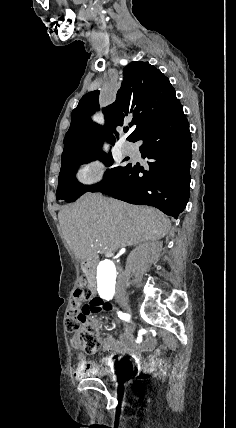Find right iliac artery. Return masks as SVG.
I'll return each instance as SVG.
<instances>
[{"label": "right iliac artery", "mask_w": 236, "mask_h": 428, "mask_svg": "<svg viewBox=\"0 0 236 428\" xmlns=\"http://www.w3.org/2000/svg\"><path fill=\"white\" fill-rule=\"evenodd\" d=\"M118 316H119V318H120V319L125 320V321H128V322H129V320H130L129 315H128V314H126V313H122L121 311H120V312H118Z\"/></svg>", "instance_id": "1"}]
</instances>
